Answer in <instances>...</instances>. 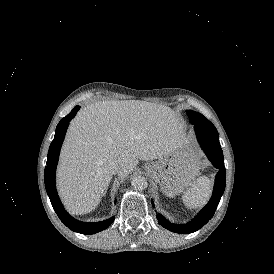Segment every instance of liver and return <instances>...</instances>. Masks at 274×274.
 Wrapping results in <instances>:
<instances>
[{
    "label": "liver",
    "mask_w": 274,
    "mask_h": 274,
    "mask_svg": "<svg viewBox=\"0 0 274 274\" xmlns=\"http://www.w3.org/2000/svg\"><path fill=\"white\" fill-rule=\"evenodd\" d=\"M182 125L167 106L142 100L103 101L71 121L59 167V188L74 214L92 211L114 174L138 160L167 156L183 140Z\"/></svg>",
    "instance_id": "6515ba94"
}]
</instances>
